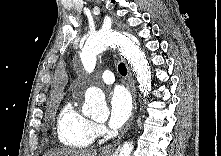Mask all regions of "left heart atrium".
I'll return each instance as SVG.
<instances>
[{
  "mask_svg": "<svg viewBox=\"0 0 221 156\" xmlns=\"http://www.w3.org/2000/svg\"><path fill=\"white\" fill-rule=\"evenodd\" d=\"M109 108V127L121 128L132 112V99L129 92L123 87H116L109 95Z\"/></svg>",
  "mask_w": 221,
  "mask_h": 156,
  "instance_id": "1",
  "label": "left heart atrium"
}]
</instances>
